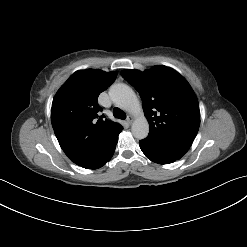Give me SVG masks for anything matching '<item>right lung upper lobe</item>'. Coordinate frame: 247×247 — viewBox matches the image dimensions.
<instances>
[{
	"mask_svg": "<svg viewBox=\"0 0 247 247\" xmlns=\"http://www.w3.org/2000/svg\"><path fill=\"white\" fill-rule=\"evenodd\" d=\"M117 72L87 69L75 72L54 97L51 123L65 154L81 165L98 144L123 127L103 119L98 96L116 79Z\"/></svg>",
	"mask_w": 247,
	"mask_h": 247,
	"instance_id": "obj_1",
	"label": "right lung upper lobe"
}]
</instances>
